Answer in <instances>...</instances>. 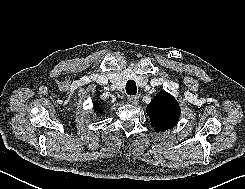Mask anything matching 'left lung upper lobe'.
<instances>
[{
    "label": "left lung upper lobe",
    "mask_w": 245,
    "mask_h": 189,
    "mask_svg": "<svg viewBox=\"0 0 245 189\" xmlns=\"http://www.w3.org/2000/svg\"><path fill=\"white\" fill-rule=\"evenodd\" d=\"M151 126L156 132H164L176 125L180 106L176 99L166 91L159 92L147 106Z\"/></svg>",
    "instance_id": "5c2ea615"
}]
</instances>
